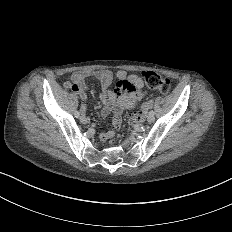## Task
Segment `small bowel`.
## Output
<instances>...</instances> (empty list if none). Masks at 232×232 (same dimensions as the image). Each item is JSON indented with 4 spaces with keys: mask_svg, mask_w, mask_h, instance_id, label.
Segmentation results:
<instances>
[{
    "mask_svg": "<svg viewBox=\"0 0 232 232\" xmlns=\"http://www.w3.org/2000/svg\"><path fill=\"white\" fill-rule=\"evenodd\" d=\"M118 82L111 85V71L109 69H79L71 70L69 78L64 86L81 96L82 104L79 110V118L84 121L88 109V85L86 78H95L101 87V98L105 103V108L101 112L103 116L108 111H114V129L100 135V141L104 142L113 137L114 132L120 128L122 114L125 110L133 109L136 103L143 97L149 95V91L144 89L142 79L137 75L128 74L127 70H118Z\"/></svg>",
    "mask_w": 232,
    "mask_h": 232,
    "instance_id": "small-bowel-1",
    "label": "small bowel"
}]
</instances>
